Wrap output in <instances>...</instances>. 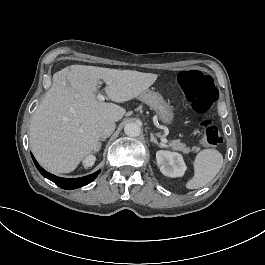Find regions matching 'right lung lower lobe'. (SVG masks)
Wrapping results in <instances>:
<instances>
[{
  "instance_id": "1",
  "label": "right lung lower lobe",
  "mask_w": 265,
  "mask_h": 265,
  "mask_svg": "<svg viewBox=\"0 0 265 265\" xmlns=\"http://www.w3.org/2000/svg\"><path fill=\"white\" fill-rule=\"evenodd\" d=\"M32 156V159L37 167V169L39 170V172L46 177L47 179L53 181L56 185H58L59 187L63 188V189H75L81 186H84L90 182H92L97 175L100 173V170H98L97 172H95L94 174H90L88 176L85 177H81V178H61V177H57L53 174H50L49 172L45 171L35 160V158Z\"/></svg>"
}]
</instances>
